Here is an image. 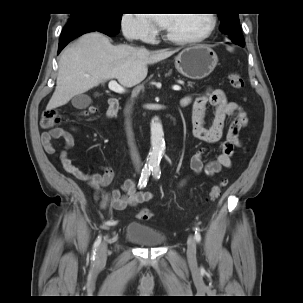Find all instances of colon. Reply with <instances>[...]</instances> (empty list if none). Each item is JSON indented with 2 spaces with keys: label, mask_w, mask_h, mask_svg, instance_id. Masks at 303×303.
Wrapping results in <instances>:
<instances>
[{
  "label": "colon",
  "mask_w": 303,
  "mask_h": 303,
  "mask_svg": "<svg viewBox=\"0 0 303 303\" xmlns=\"http://www.w3.org/2000/svg\"><path fill=\"white\" fill-rule=\"evenodd\" d=\"M228 80L234 89L240 90V89H243L245 86L243 78L236 72L229 73ZM94 111H95V107H92L89 109V112H94ZM61 120H62V115L59 111L54 110V109L46 110L43 113V116L41 119V125L44 128H53V127L59 125L61 123ZM224 186H225L224 181L214 185L209 191L208 199L209 200L217 199L220 196L221 191ZM152 215L153 214L151 211H149L147 209H143L137 213V218L139 220L145 221V220H149L152 217Z\"/></svg>",
  "instance_id": "5ec220e1"
}]
</instances>
